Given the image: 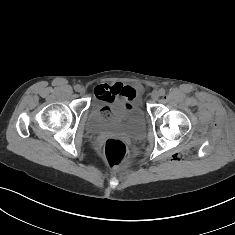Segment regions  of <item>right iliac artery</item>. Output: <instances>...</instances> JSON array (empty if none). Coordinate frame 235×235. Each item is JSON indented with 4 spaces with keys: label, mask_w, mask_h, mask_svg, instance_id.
I'll return each mask as SVG.
<instances>
[{
    "label": "right iliac artery",
    "mask_w": 235,
    "mask_h": 235,
    "mask_svg": "<svg viewBox=\"0 0 235 235\" xmlns=\"http://www.w3.org/2000/svg\"><path fill=\"white\" fill-rule=\"evenodd\" d=\"M80 87H81L80 85H75L74 87L75 91H79Z\"/></svg>",
    "instance_id": "1"
}]
</instances>
